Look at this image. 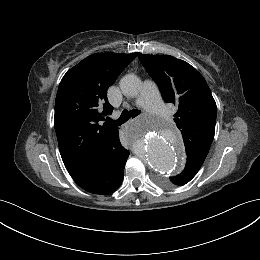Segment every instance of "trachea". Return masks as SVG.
Returning <instances> with one entry per match:
<instances>
[{
  "mask_svg": "<svg viewBox=\"0 0 260 260\" xmlns=\"http://www.w3.org/2000/svg\"><path fill=\"white\" fill-rule=\"evenodd\" d=\"M141 113L138 109H133L131 111L123 110L121 116L117 120H112L110 118L107 119L109 124L122 125L126 121H128L131 117L134 118Z\"/></svg>",
  "mask_w": 260,
  "mask_h": 260,
  "instance_id": "obj_1",
  "label": "trachea"
}]
</instances>
